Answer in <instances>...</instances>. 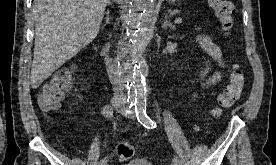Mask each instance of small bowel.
<instances>
[{
  "label": "small bowel",
  "instance_id": "obj_1",
  "mask_svg": "<svg viewBox=\"0 0 276 165\" xmlns=\"http://www.w3.org/2000/svg\"><path fill=\"white\" fill-rule=\"evenodd\" d=\"M197 42L202 48V50L209 56V58L215 62L219 67H224V60L222 56L221 49L218 45L211 41L207 36H198ZM222 79L221 71H211V64L208 61L203 69L200 71L199 80L201 83L208 87L210 85L220 82ZM194 98L198 97L197 94L192 95Z\"/></svg>",
  "mask_w": 276,
  "mask_h": 165
}]
</instances>
